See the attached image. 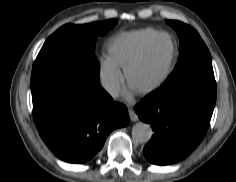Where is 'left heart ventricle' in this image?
<instances>
[{"label": "left heart ventricle", "mask_w": 236, "mask_h": 182, "mask_svg": "<svg viewBox=\"0 0 236 182\" xmlns=\"http://www.w3.org/2000/svg\"><path fill=\"white\" fill-rule=\"evenodd\" d=\"M171 56L169 38L160 37L146 59L131 74L132 82L140 87L158 80L167 68Z\"/></svg>", "instance_id": "b2bd125f"}]
</instances>
